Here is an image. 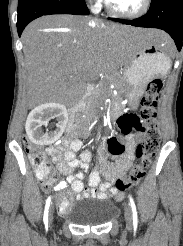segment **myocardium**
Wrapping results in <instances>:
<instances>
[{"mask_svg": "<svg viewBox=\"0 0 183 246\" xmlns=\"http://www.w3.org/2000/svg\"><path fill=\"white\" fill-rule=\"evenodd\" d=\"M150 4H151V0H143L142 6L137 11L132 13H124L116 10L112 6L109 0H105V5L108 12L116 17L123 18V19H134L144 15L148 11Z\"/></svg>", "mask_w": 183, "mask_h": 246, "instance_id": "1", "label": "myocardium"}]
</instances>
